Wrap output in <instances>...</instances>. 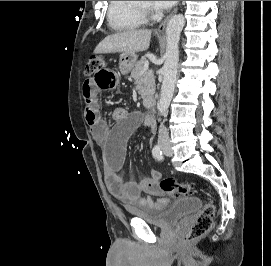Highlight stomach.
I'll list each match as a JSON object with an SVG mask.
<instances>
[{
	"mask_svg": "<svg viewBox=\"0 0 271 266\" xmlns=\"http://www.w3.org/2000/svg\"><path fill=\"white\" fill-rule=\"evenodd\" d=\"M137 62V55L135 53L123 52L120 55L119 70L122 74H128Z\"/></svg>",
	"mask_w": 271,
	"mask_h": 266,
	"instance_id": "1",
	"label": "stomach"
}]
</instances>
